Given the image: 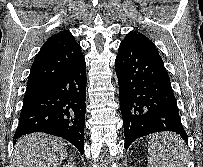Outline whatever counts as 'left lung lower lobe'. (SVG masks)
<instances>
[{"mask_svg": "<svg viewBox=\"0 0 203 167\" xmlns=\"http://www.w3.org/2000/svg\"><path fill=\"white\" fill-rule=\"evenodd\" d=\"M115 65L125 149L136 139L161 131L175 132L188 143L160 55L124 39Z\"/></svg>", "mask_w": 203, "mask_h": 167, "instance_id": "left-lung-lower-lobe-1", "label": "left lung lower lobe"}]
</instances>
